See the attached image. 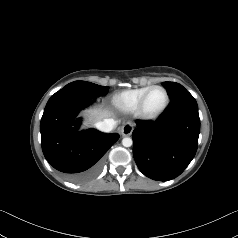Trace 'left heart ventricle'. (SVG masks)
I'll use <instances>...</instances> for the list:
<instances>
[{
	"label": "left heart ventricle",
	"instance_id": "b2bd125f",
	"mask_svg": "<svg viewBox=\"0 0 238 238\" xmlns=\"http://www.w3.org/2000/svg\"><path fill=\"white\" fill-rule=\"evenodd\" d=\"M165 102V94L161 89L153 90L146 101V110L150 113L158 111Z\"/></svg>",
	"mask_w": 238,
	"mask_h": 238
}]
</instances>
